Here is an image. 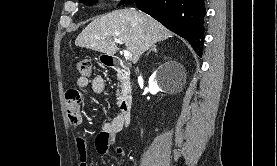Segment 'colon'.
Returning <instances> with one entry per match:
<instances>
[{"label": "colon", "instance_id": "1", "mask_svg": "<svg viewBox=\"0 0 277 166\" xmlns=\"http://www.w3.org/2000/svg\"><path fill=\"white\" fill-rule=\"evenodd\" d=\"M76 68L82 77H88L91 74V61L87 58L81 59L77 62Z\"/></svg>", "mask_w": 277, "mask_h": 166}]
</instances>
